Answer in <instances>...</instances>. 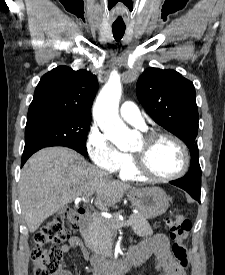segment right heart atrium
I'll use <instances>...</instances> for the list:
<instances>
[{"label": "right heart atrium", "mask_w": 225, "mask_h": 275, "mask_svg": "<svg viewBox=\"0 0 225 275\" xmlns=\"http://www.w3.org/2000/svg\"><path fill=\"white\" fill-rule=\"evenodd\" d=\"M87 150L96 168L113 173L125 163L126 154L120 151L111 139L93 126L87 139Z\"/></svg>", "instance_id": "right-heart-atrium-1"}]
</instances>
